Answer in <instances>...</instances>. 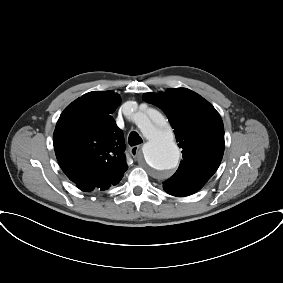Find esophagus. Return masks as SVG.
<instances>
[{
	"instance_id": "obj_1",
	"label": "esophagus",
	"mask_w": 283,
	"mask_h": 283,
	"mask_svg": "<svg viewBox=\"0 0 283 283\" xmlns=\"http://www.w3.org/2000/svg\"><path fill=\"white\" fill-rule=\"evenodd\" d=\"M141 146L140 145H136V146H133V147H131L130 149H129V151H130V154H131V156L133 157V158H136V157H138L139 155H140V153H141Z\"/></svg>"
}]
</instances>
